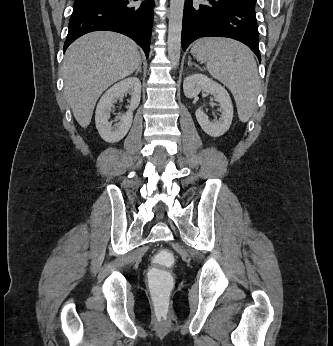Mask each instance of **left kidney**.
<instances>
[{
    "label": "left kidney",
    "instance_id": "left-kidney-1",
    "mask_svg": "<svg viewBox=\"0 0 333 346\" xmlns=\"http://www.w3.org/2000/svg\"><path fill=\"white\" fill-rule=\"evenodd\" d=\"M184 94L187 98L197 96L205 91L215 97L220 104L221 117L216 122H211L202 108L196 110V118L201 128L211 137H220L230 128L233 119V105L229 93L219 83L203 74H192L183 82Z\"/></svg>",
    "mask_w": 333,
    "mask_h": 346
}]
</instances>
